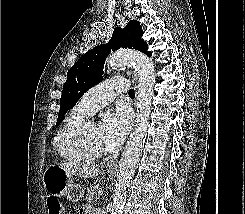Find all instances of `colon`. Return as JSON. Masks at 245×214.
I'll return each instance as SVG.
<instances>
[{
  "instance_id": "5ec220e1",
  "label": "colon",
  "mask_w": 245,
  "mask_h": 214,
  "mask_svg": "<svg viewBox=\"0 0 245 214\" xmlns=\"http://www.w3.org/2000/svg\"><path fill=\"white\" fill-rule=\"evenodd\" d=\"M48 208L50 214H61V206L58 200L50 198L48 200Z\"/></svg>"
}]
</instances>
